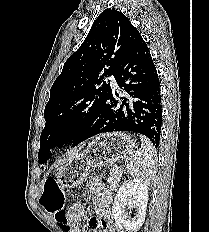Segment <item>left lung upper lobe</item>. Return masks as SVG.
I'll return each mask as SVG.
<instances>
[{
  "instance_id": "5c2ea615",
  "label": "left lung upper lobe",
  "mask_w": 209,
  "mask_h": 232,
  "mask_svg": "<svg viewBox=\"0 0 209 232\" xmlns=\"http://www.w3.org/2000/svg\"><path fill=\"white\" fill-rule=\"evenodd\" d=\"M140 38L129 19L115 9H105L97 17L51 87L40 136V164L49 159L51 148L74 147L83 141L112 93L108 83L101 85L102 79L110 74L116 77Z\"/></svg>"
}]
</instances>
